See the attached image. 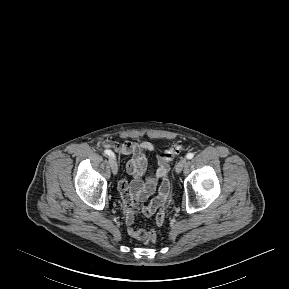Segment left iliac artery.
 <instances>
[{
	"label": "left iliac artery",
	"instance_id": "left-iliac-artery-1",
	"mask_svg": "<svg viewBox=\"0 0 289 289\" xmlns=\"http://www.w3.org/2000/svg\"><path fill=\"white\" fill-rule=\"evenodd\" d=\"M194 157V154L193 153H188L187 155H186V158L187 159H192Z\"/></svg>",
	"mask_w": 289,
	"mask_h": 289
}]
</instances>
